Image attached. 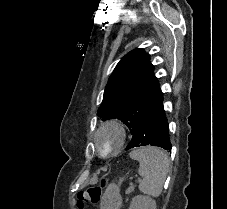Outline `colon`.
<instances>
[{"mask_svg":"<svg viewBox=\"0 0 227 209\" xmlns=\"http://www.w3.org/2000/svg\"><path fill=\"white\" fill-rule=\"evenodd\" d=\"M106 186L107 182L104 181L101 186L95 185L81 190L77 195V208L84 209L87 204H97Z\"/></svg>","mask_w":227,"mask_h":209,"instance_id":"colon-1","label":"colon"}]
</instances>
